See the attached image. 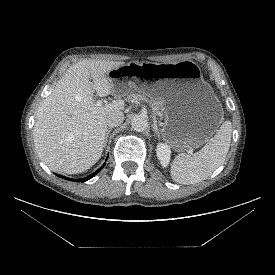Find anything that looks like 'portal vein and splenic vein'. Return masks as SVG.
<instances>
[{"instance_id": "1", "label": "portal vein and splenic vein", "mask_w": 275, "mask_h": 275, "mask_svg": "<svg viewBox=\"0 0 275 275\" xmlns=\"http://www.w3.org/2000/svg\"><path fill=\"white\" fill-rule=\"evenodd\" d=\"M96 104H97L98 106H101V105H102V101L98 100V101L96 102ZM187 153H188L189 155H192V154H193V149L187 150Z\"/></svg>"}]
</instances>
